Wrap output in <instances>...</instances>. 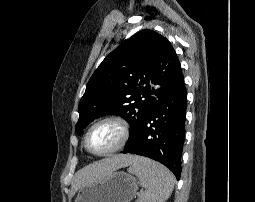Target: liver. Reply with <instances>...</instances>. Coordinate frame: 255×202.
Here are the masks:
<instances>
[{"label": "liver", "mask_w": 255, "mask_h": 202, "mask_svg": "<svg viewBox=\"0 0 255 202\" xmlns=\"http://www.w3.org/2000/svg\"><path fill=\"white\" fill-rule=\"evenodd\" d=\"M137 158L128 154L113 155L84 167L75 174L72 192L75 193L79 188L95 179L103 178L119 168L133 164Z\"/></svg>", "instance_id": "6515ba94"}]
</instances>
